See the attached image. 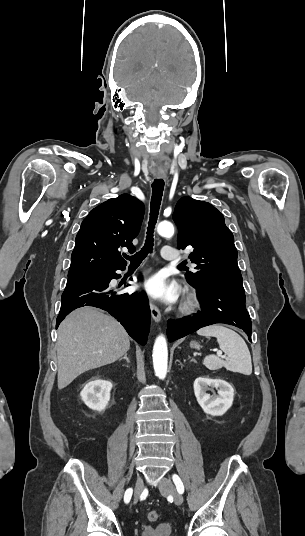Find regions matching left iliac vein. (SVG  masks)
<instances>
[{
  "instance_id": "obj_1",
  "label": "left iliac vein",
  "mask_w": 305,
  "mask_h": 536,
  "mask_svg": "<svg viewBox=\"0 0 305 536\" xmlns=\"http://www.w3.org/2000/svg\"><path fill=\"white\" fill-rule=\"evenodd\" d=\"M159 491L163 495L171 494L177 505H181L183 503L182 494H180L173 488L172 483L169 478H166V477L162 478L160 485H159Z\"/></svg>"
}]
</instances>
